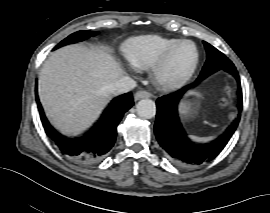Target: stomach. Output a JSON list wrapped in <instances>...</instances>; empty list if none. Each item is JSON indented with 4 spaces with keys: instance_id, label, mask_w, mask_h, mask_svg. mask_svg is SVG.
I'll return each instance as SVG.
<instances>
[{
    "instance_id": "0dacf381",
    "label": "stomach",
    "mask_w": 270,
    "mask_h": 213,
    "mask_svg": "<svg viewBox=\"0 0 270 213\" xmlns=\"http://www.w3.org/2000/svg\"><path fill=\"white\" fill-rule=\"evenodd\" d=\"M195 103L191 100H183L180 104V115L183 118H188L195 112Z\"/></svg>"
}]
</instances>
